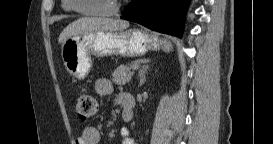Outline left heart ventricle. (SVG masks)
<instances>
[{"instance_id": "obj_1", "label": "left heart ventricle", "mask_w": 273, "mask_h": 144, "mask_svg": "<svg viewBox=\"0 0 273 144\" xmlns=\"http://www.w3.org/2000/svg\"><path fill=\"white\" fill-rule=\"evenodd\" d=\"M82 9L105 10L111 8L116 0H78Z\"/></svg>"}]
</instances>
